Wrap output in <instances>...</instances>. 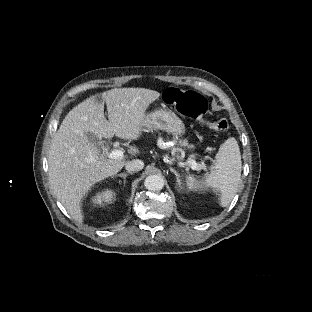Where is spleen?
Returning <instances> with one entry per match:
<instances>
[{
    "label": "spleen",
    "mask_w": 312,
    "mask_h": 312,
    "mask_svg": "<svg viewBox=\"0 0 312 312\" xmlns=\"http://www.w3.org/2000/svg\"><path fill=\"white\" fill-rule=\"evenodd\" d=\"M241 175V157L239 147L234 138L221 143L211 170L203 178L188 176L187 189L204 193L212 191L219 197V206L226 207L232 200Z\"/></svg>",
    "instance_id": "1"
}]
</instances>
